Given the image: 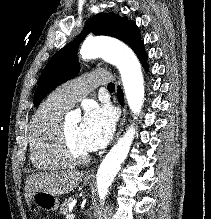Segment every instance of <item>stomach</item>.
Segmentation results:
<instances>
[{
    "instance_id": "stomach-1",
    "label": "stomach",
    "mask_w": 211,
    "mask_h": 219,
    "mask_svg": "<svg viewBox=\"0 0 211 219\" xmlns=\"http://www.w3.org/2000/svg\"><path fill=\"white\" fill-rule=\"evenodd\" d=\"M84 184H88L90 180L88 178L83 179ZM32 203L41 210L47 212L56 211L59 208V200L55 194L48 192H35L31 197Z\"/></svg>"
}]
</instances>
